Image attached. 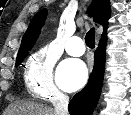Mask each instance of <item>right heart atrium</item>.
<instances>
[{
    "instance_id": "right-heart-atrium-1",
    "label": "right heart atrium",
    "mask_w": 131,
    "mask_h": 115,
    "mask_svg": "<svg viewBox=\"0 0 131 115\" xmlns=\"http://www.w3.org/2000/svg\"><path fill=\"white\" fill-rule=\"evenodd\" d=\"M55 62V57L47 48L38 49L26 61L24 83L34 97L49 101L66 98L54 81Z\"/></svg>"
}]
</instances>
